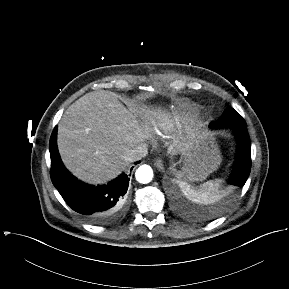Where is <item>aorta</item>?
Returning a JSON list of instances; mask_svg holds the SVG:
<instances>
[{
    "mask_svg": "<svg viewBox=\"0 0 289 289\" xmlns=\"http://www.w3.org/2000/svg\"><path fill=\"white\" fill-rule=\"evenodd\" d=\"M136 180L139 183L146 184L152 180L153 170L149 165H141L135 172Z\"/></svg>",
    "mask_w": 289,
    "mask_h": 289,
    "instance_id": "obj_1",
    "label": "aorta"
}]
</instances>
